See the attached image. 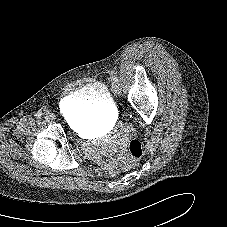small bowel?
Segmentation results:
<instances>
[{
	"label": "small bowel",
	"instance_id": "small-bowel-1",
	"mask_svg": "<svg viewBox=\"0 0 227 227\" xmlns=\"http://www.w3.org/2000/svg\"><path fill=\"white\" fill-rule=\"evenodd\" d=\"M120 158L121 153H109L107 159H104L102 156H99L97 158V161L104 170L108 171L109 173H114L118 169V163L120 161Z\"/></svg>",
	"mask_w": 227,
	"mask_h": 227
}]
</instances>
